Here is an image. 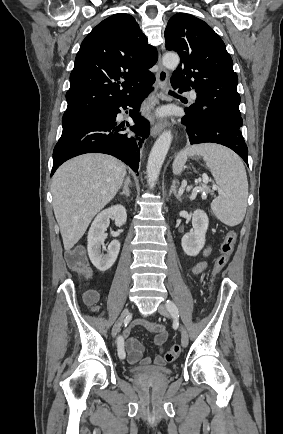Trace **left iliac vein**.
I'll use <instances>...</instances> for the list:
<instances>
[{
	"mask_svg": "<svg viewBox=\"0 0 283 434\" xmlns=\"http://www.w3.org/2000/svg\"><path fill=\"white\" fill-rule=\"evenodd\" d=\"M158 312L165 317H170L169 310H168L167 306L164 304L159 305ZM180 331H181V345L183 347H186L188 345V341H189L188 332L184 326L180 327Z\"/></svg>",
	"mask_w": 283,
	"mask_h": 434,
	"instance_id": "4c4485c4",
	"label": "left iliac vein"
}]
</instances>
